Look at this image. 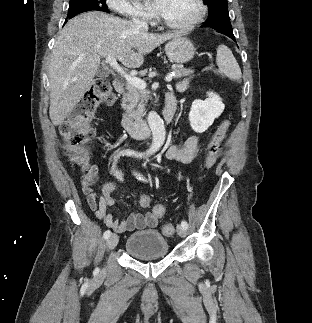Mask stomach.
<instances>
[{"mask_svg":"<svg viewBox=\"0 0 312 323\" xmlns=\"http://www.w3.org/2000/svg\"><path fill=\"white\" fill-rule=\"evenodd\" d=\"M195 46L191 40L187 38H173L165 46L166 56H168L171 62H176V64H185L194 58Z\"/></svg>","mask_w":312,"mask_h":323,"instance_id":"1","label":"stomach"}]
</instances>
